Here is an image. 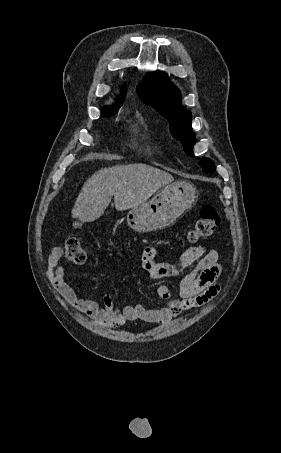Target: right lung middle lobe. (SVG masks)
<instances>
[{"label":"right lung middle lobe","mask_w":281,"mask_h":453,"mask_svg":"<svg viewBox=\"0 0 281 453\" xmlns=\"http://www.w3.org/2000/svg\"><path fill=\"white\" fill-rule=\"evenodd\" d=\"M112 114H113V113H109V114H107V115H105V116H111Z\"/></svg>","instance_id":"right-lung-middle-lobe-1"}]
</instances>
